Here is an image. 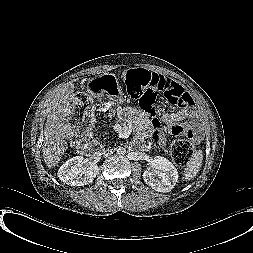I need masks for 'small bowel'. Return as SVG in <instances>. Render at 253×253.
Returning a JSON list of instances; mask_svg holds the SVG:
<instances>
[{"label":"small bowel","instance_id":"c3829d8e","mask_svg":"<svg viewBox=\"0 0 253 253\" xmlns=\"http://www.w3.org/2000/svg\"><path fill=\"white\" fill-rule=\"evenodd\" d=\"M171 82L179 88L181 94H187L181 86L173 81ZM190 104L191 98L189 105ZM124 118L126 121L134 123L139 134L150 136L154 143L160 146L166 141L161 130L162 124L165 125L173 135H181L185 130L190 128L189 125H183L182 122L184 120L195 122L197 119V112L193 107L186 106L174 112H164L160 120H157L138 109L130 108L124 111Z\"/></svg>","mask_w":253,"mask_h":253}]
</instances>
